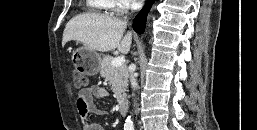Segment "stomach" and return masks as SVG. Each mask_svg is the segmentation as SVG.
Segmentation results:
<instances>
[{"label":"stomach","instance_id":"obj_1","mask_svg":"<svg viewBox=\"0 0 257 130\" xmlns=\"http://www.w3.org/2000/svg\"><path fill=\"white\" fill-rule=\"evenodd\" d=\"M73 58L80 65L84 74L95 75L101 66V56L87 47H80L73 53Z\"/></svg>","mask_w":257,"mask_h":130}]
</instances>
